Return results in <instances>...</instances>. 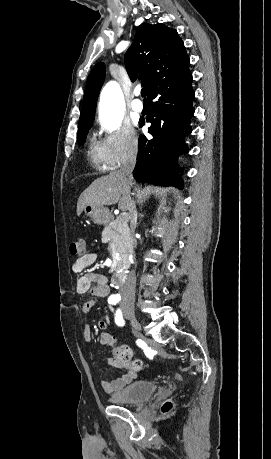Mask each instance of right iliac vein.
I'll use <instances>...</instances> for the list:
<instances>
[{
	"label": "right iliac vein",
	"mask_w": 271,
	"mask_h": 459,
	"mask_svg": "<svg viewBox=\"0 0 271 459\" xmlns=\"http://www.w3.org/2000/svg\"><path fill=\"white\" fill-rule=\"evenodd\" d=\"M124 313H125V314L128 316V318L130 319L133 328H134L136 331H140L141 326H140L139 322L135 319V317H134V315H133V311H132L131 309H125V310H124Z\"/></svg>",
	"instance_id": "obj_1"
}]
</instances>
